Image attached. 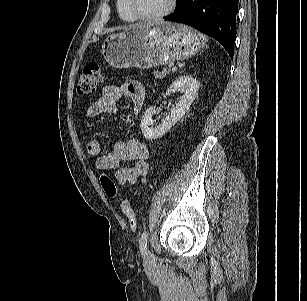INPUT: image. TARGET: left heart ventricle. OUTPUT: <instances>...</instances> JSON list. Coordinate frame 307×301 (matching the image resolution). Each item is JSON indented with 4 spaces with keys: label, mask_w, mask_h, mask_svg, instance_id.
I'll return each instance as SVG.
<instances>
[{
    "label": "left heart ventricle",
    "mask_w": 307,
    "mask_h": 301,
    "mask_svg": "<svg viewBox=\"0 0 307 301\" xmlns=\"http://www.w3.org/2000/svg\"><path fill=\"white\" fill-rule=\"evenodd\" d=\"M136 8L144 15L159 13L167 8L170 0H133Z\"/></svg>",
    "instance_id": "obj_1"
}]
</instances>
